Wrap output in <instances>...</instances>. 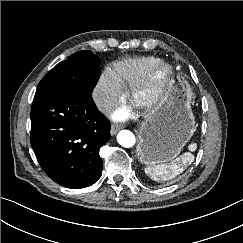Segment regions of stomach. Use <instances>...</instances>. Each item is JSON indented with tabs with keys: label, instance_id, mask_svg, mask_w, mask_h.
<instances>
[{
	"label": "stomach",
	"instance_id": "0dacf381",
	"mask_svg": "<svg viewBox=\"0 0 243 243\" xmlns=\"http://www.w3.org/2000/svg\"><path fill=\"white\" fill-rule=\"evenodd\" d=\"M192 96L190 85L176 79L162 107L141 123L136 150L141 163L162 164L180 154L196 130Z\"/></svg>",
	"mask_w": 243,
	"mask_h": 243
}]
</instances>
